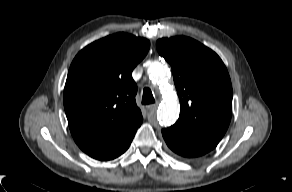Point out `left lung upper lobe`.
I'll use <instances>...</instances> for the list:
<instances>
[{
    "label": "left lung upper lobe",
    "mask_w": 292,
    "mask_h": 192,
    "mask_svg": "<svg viewBox=\"0 0 292 192\" xmlns=\"http://www.w3.org/2000/svg\"><path fill=\"white\" fill-rule=\"evenodd\" d=\"M156 45L172 67L181 104L179 119L169 128L219 143L232 115V85L224 63L188 37L162 38Z\"/></svg>",
    "instance_id": "1"
}]
</instances>
